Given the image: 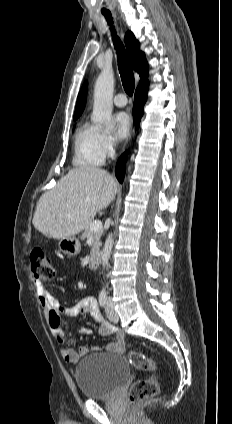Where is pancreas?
I'll use <instances>...</instances> for the list:
<instances>
[{"label":"pancreas","instance_id":"1","mask_svg":"<svg viewBox=\"0 0 232 424\" xmlns=\"http://www.w3.org/2000/svg\"><path fill=\"white\" fill-rule=\"evenodd\" d=\"M92 224V221L89 223L88 227L85 229L84 233L81 236V239L85 238H92V250H91V259L95 256V254L98 252L99 247L101 245L100 243V237L102 236L103 229L98 231H92L90 229V226Z\"/></svg>","mask_w":232,"mask_h":424}]
</instances>
